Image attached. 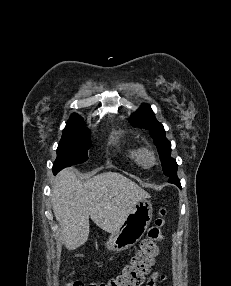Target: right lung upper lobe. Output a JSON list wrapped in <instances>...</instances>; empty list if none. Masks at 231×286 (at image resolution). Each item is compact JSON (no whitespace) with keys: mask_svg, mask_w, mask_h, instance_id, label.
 I'll return each instance as SVG.
<instances>
[{"mask_svg":"<svg viewBox=\"0 0 231 286\" xmlns=\"http://www.w3.org/2000/svg\"><path fill=\"white\" fill-rule=\"evenodd\" d=\"M71 117H79L78 115H76V114H73Z\"/></svg>","mask_w":231,"mask_h":286,"instance_id":"obj_1","label":"right lung upper lobe"}]
</instances>
